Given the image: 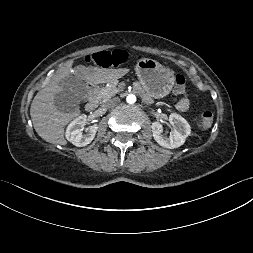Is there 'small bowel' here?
Returning <instances> with one entry per match:
<instances>
[{
	"mask_svg": "<svg viewBox=\"0 0 253 253\" xmlns=\"http://www.w3.org/2000/svg\"><path fill=\"white\" fill-rule=\"evenodd\" d=\"M190 101L188 97H182L177 103V108L180 111H186L189 108Z\"/></svg>",
	"mask_w": 253,
	"mask_h": 253,
	"instance_id": "small-bowel-1",
	"label": "small bowel"
}]
</instances>
